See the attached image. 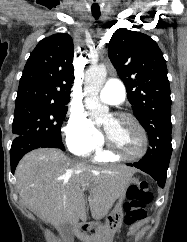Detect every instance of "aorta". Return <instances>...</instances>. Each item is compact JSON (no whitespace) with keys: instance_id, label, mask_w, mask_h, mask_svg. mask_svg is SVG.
I'll return each mask as SVG.
<instances>
[{"instance_id":"762f6f07","label":"aorta","mask_w":187,"mask_h":242,"mask_svg":"<svg viewBox=\"0 0 187 242\" xmlns=\"http://www.w3.org/2000/svg\"><path fill=\"white\" fill-rule=\"evenodd\" d=\"M107 70L104 65L91 66L84 77L85 104L90 111V116L96 122L105 119L109 114V108L102 105L99 100V92L105 82Z\"/></svg>"}]
</instances>
